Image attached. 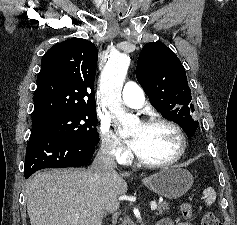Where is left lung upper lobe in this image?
Segmentation results:
<instances>
[{"label": "left lung upper lobe", "mask_w": 237, "mask_h": 225, "mask_svg": "<svg viewBox=\"0 0 237 225\" xmlns=\"http://www.w3.org/2000/svg\"><path fill=\"white\" fill-rule=\"evenodd\" d=\"M136 77L154 108L194 135L198 121L186 72L179 58L162 42L144 45L137 62Z\"/></svg>", "instance_id": "1"}]
</instances>
